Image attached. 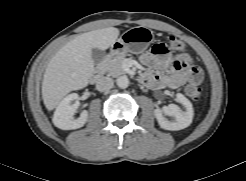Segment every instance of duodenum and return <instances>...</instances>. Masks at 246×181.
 <instances>
[{
  "instance_id": "410a0bca",
  "label": "duodenum",
  "mask_w": 246,
  "mask_h": 181,
  "mask_svg": "<svg viewBox=\"0 0 246 181\" xmlns=\"http://www.w3.org/2000/svg\"><path fill=\"white\" fill-rule=\"evenodd\" d=\"M112 55H113V50L109 51V52L106 54L105 59L111 57ZM101 77H102V72H101V69L98 68V69H96V70L92 73V75H91V77H90V80H91L92 82H98V81H100Z\"/></svg>"
}]
</instances>
